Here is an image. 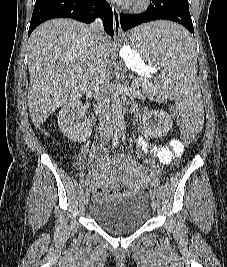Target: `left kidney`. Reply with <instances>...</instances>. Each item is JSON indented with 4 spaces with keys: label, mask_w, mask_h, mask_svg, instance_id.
Segmentation results:
<instances>
[{
    "label": "left kidney",
    "mask_w": 227,
    "mask_h": 267,
    "mask_svg": "<svg viewBox=\"0 0 227 267\" xmlns=\"http://www.w3.org/2000/svg\"><path fill=\"white\" fill-rule=\"evenodd\" d=\"M144 125L150 136L161 137L171 130L172 118L163 110H152L145 115Z\"/></svg>",
    "instance_id": "5707ae66"
}]
</instances>
